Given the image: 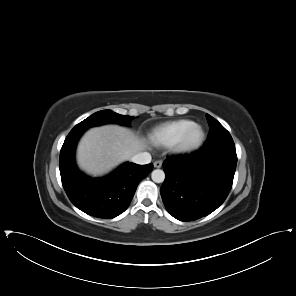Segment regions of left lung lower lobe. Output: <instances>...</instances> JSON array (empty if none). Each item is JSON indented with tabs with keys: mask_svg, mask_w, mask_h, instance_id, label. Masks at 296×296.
I'll return each mask as SVG.
<instances>
[{
	"mask_svg": "<svg viewBox=\"0 0 296 296\" xmlns=\"http://www.w3.org/2000/svg\"><path fill=\"white\" fill-rule=\"evenodd\" d=\"M236 150L167 158L160 192L167 211L180 221H192L216 210L228 196L236 170Z\"/></svg>",
	"mask_w": 296,
	"mask_h": 296,
	"instance_id": "1",
	"label": "left lung lower lobe"
}]
</instances>
